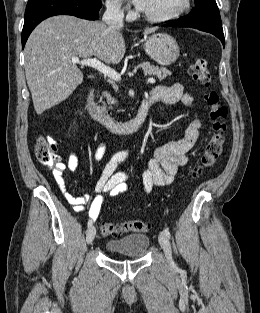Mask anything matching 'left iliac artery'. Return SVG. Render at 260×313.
<instances>
[{"mask_svg": "<svg viewBox=\"0 0 260 313\" xmlns=\"http://www.w3.org/2000/svg\"><path fill=\"white\" fill-rule=\"evenodd\" d=\"M163 233L168 237V238H170V232H169V230L168 229H164L163 230Z\"/></svg>", "mask_w": 260, "mask_h": 313, "instance_id": "obj_1", "label": "left iliac artery"}]
</instances>
